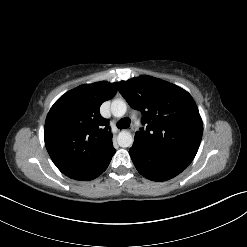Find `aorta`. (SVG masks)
Returning a JSON list of instances; mask_svg holds the SVG:
<instances>
[{"label":"aorta","instance_id":"obj_1","mask_svg":"<svg viewBox=\"0 0 247 247\" xmlns=\"http://www.w3.org/2000/svg\"><path fill=\"white\" fill-rule=\"evenodd\" d=\"M127 111V104L122 99H115L111 103V112L113 116L120 118L125 115ZM117 142L120 147H130L133 143V137L130 132L128 131H121L118 134Z\"/></svg>","mask_w":247,"mask_h":247}]
</instances>
